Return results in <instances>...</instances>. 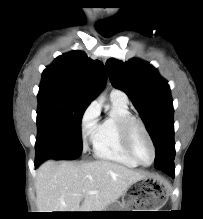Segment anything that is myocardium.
I'll list each match as a JSON object with an SVG mask.
<instances>
[{
  "mask_svg": "<svg viewBox=\"0 0 203 219\" xmlns=\"http://www.w3.org/2000/svg\"><path fill=\"white\" fill-rule=\"evenodd\" d=\"M120 129H121L123 145L127 153L129 154V156L140 166L148 167L152 165L156 158V147L145 124L140 119L134 116H130V117L124 118L121 121ZM136 129H140L143 132V134L145 135V137L147 138L151 146L153 157H152V161L148 164L141 162L139 158L137 157V155L135 154V151L133 149V135Z\"/></svg>",
  "mask_w": 203,
  "mask_h": 219,
  "instance_id": "f54148a6",
  "label": "myocardium"
}]
</instances>
